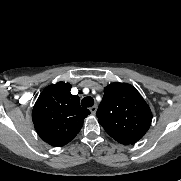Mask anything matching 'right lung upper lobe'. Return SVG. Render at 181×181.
I'll return each mask as SVG.
<instances>
[{
	"label": "right lung upper lobe",
	"instance_id": "1",
	"mask_svg": "<svg viewBox=\"0 0 181 181\" xmlns=\"http://www.w3.org/2000/svg\"><path fill=\"white\" fill-rule=\"evenodd\" d=\"M71 84L58 82L47 86L39 95L32 120L40 138L54 147L69 143L80 131L90 111L80 106Z\"/></svg>",
	"mask_w": 181,
	"mask_h": 181
}]
</instances>
